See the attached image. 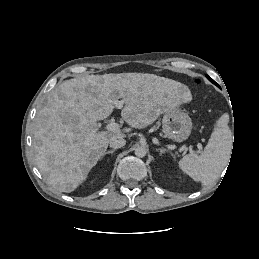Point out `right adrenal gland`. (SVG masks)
I'll return each instance as SVG.
<instances>
[{
  "instance_id": "obj_1",
  "label": "right adrenal gland",
  "mask_w": 259,
  "mask_h": 259,
  "mask_svg": "<svg viewBox=\"0 0 259 259\" xmlns=\"http://www.w3.org/2000/svg\"><path fill=\"white\" fill-rule=\"evenodd\" d=\"M115 150H116V149L109 150V151L105 152V153L103 154V156H105L106 154H113V153L115 152Z\"/></svg>"
}]
</instances>
